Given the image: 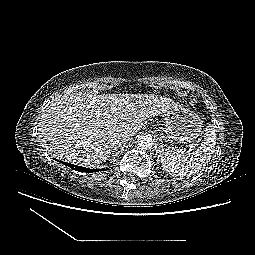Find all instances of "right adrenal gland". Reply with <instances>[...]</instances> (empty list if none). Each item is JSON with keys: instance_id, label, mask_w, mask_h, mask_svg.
Wrapping results in <instances>:
<instances>
[{"instance_id": "2a0ac1e0", "label": "right adrenal gland", "mask_w": 255, "mask_h": 255, "mask_svg": "<svg viewBox=\"0 0 255 255\" xmlns=\"http://www.w3.org/2000/svg\"><path fill=\"white\" fill-rule=\"evenodd\" d=\"M118 148H119V146H115V148H114V150H113V152H112V156H113V157L117 156Z\"/></svg>"}]
</instances>
